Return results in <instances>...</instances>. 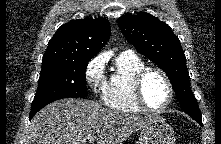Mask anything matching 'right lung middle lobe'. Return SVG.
<instances>
[{"mask_svg": "<svg viewBox=\"0 0 221 144\" xmlns=\"http://www.w3.org/2000/svg\"><path fill=\"white\" fill-rule=\"evenodd\" d=\"M87 61L47 60L42 62L38 89L31 112H38L47 104L67 97L88 95L85 72Z\"/></svg>", "mask_w": 221, "mask_h": 144, "instance_id": "1", "label": "right lung middle lobe"}]
</instances>
